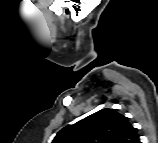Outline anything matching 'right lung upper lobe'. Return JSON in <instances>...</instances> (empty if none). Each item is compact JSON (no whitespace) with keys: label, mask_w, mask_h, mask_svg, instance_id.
Here are the masks:
<instances>
[{"label":"right lung upper lobe","mask_w":158,"mask_h":143,"mask_svg":"<svg viewBox=\"0 0 158 143\" xmlns=\"http://www.w3.org/2000/svg\"><path fill=\"white\" fill-rule=\"evenodd\" d=\"M52 143H139V137L124 115L107 108L64 127Z\"/></svg>","instance_id":"cb5924a9"}]
</instances>
